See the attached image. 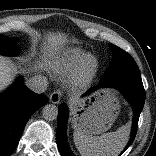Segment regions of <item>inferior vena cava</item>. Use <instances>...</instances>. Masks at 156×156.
<instances>
[{"label":"inferior vena cava","mask_w":156,"mask_h":156,"mask_svg":"<svg viewBox=\"0 0 156 156\" xmlns=\"http://www.w3.org/2000/svg\"><path fill=\"white\" fill-rule=\"evenodd\" d=\"M47 79L44 76L37 75L26 81V86L35 93L41 94L47 90Z\"/></svg>","instance_id":"1"}]
</instances>
